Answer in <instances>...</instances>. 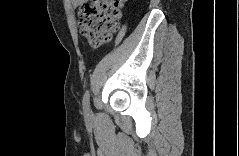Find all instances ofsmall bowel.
Masks as SVG:
<instances>
[{"label":"small bowel","mask_w":239,"mask_h":156,"mask_svg":"<svg viewBox=\"0 0 239 156\" xmlns=\"http://www.w3.org/2000/svg\"><path fill=\"white\" fill-rule=\"evenodd\" d=\"M81 2H82L81 0H74V1H72V5L74 7H77Z\"/></svg>","instance_id":"small-bowel-1"}]
</instances>
